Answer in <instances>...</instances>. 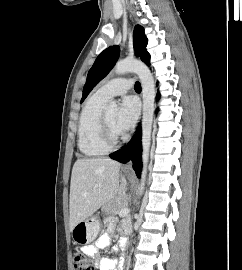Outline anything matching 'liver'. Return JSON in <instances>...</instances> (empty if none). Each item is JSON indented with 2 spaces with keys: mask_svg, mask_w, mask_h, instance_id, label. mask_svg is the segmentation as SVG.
Masks as SVG:
<instances>
[{
  "mask_svg": "<svg viewBox=\"0 0 242 270\" xmlns=\"http://www.w3.org/2000/svg\"><path fill=\"white\" fill-rule=\"evenodd\" d=\"M120 163L109 158L78 159L70 184V231L101 206L119 199L126 191Z\"/></svg>",
  "mask_w": 242,
  "mask_h": 270,
  "instance_id": "obj_1",
  "label": "liver"
}]
</instances>
